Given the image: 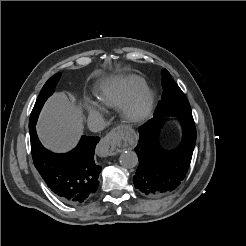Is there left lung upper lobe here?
I'll return each instance as SVG.
<instances>
[{"label":"left lung upper lobe","instance_id":"obj_1","mask_svg":"<svg viewBox=\"0 0 246 246\" xmlns=\"http://www.w3.org/2000/svg\"><path fill=\"white\" fill-rule=\"evenodd\" d=\"M162 87L163 95L156 107L158 116H188L192 115L189 102L179 88V86L173 81L170 73L166 70H162Z\"/></svg>","mask_w":246,"mask_h":246}]
</instances>
